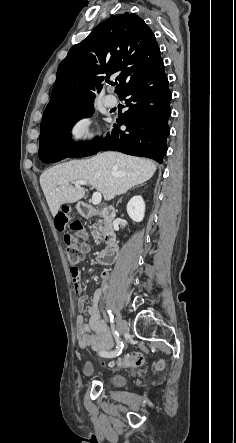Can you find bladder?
I'll use <instances>...</instances> for the list:
<instances>
[{
    "instance_id": "bladder-1",
    "label": "bladder",
    "mask_w": 236,
    "mask_h": 443,
    "mask_svg": "<svg viewBox=\"0 0 236 443\" xmlns=\"http://www.w3.org/2000/svg\"><path fill=\"white\" fill-rule=\"evenodd\" d=\"M91 368L89 366L85 367V373L86 375L91 374ZM106 381L116 387H121L126 383V379L118 374H110L106 377Z\"/></svg>"
}]
</instances>
